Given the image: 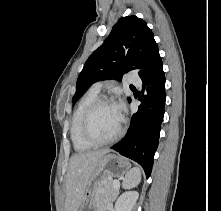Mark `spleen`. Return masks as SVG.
Wrapping results in <instances>:
<instances>
[{
	"instance_id": "spleen-1",
	"label": "spleen",
	"mask_w": 221,
	"mask_h": 211,
	"mask_svg": "<svg viewBox=\"0 0 221 211\" xmlns=\"http://www.w3.org/2000/svg\"><path fill=\"white\" fill-rule=\"evenodd\" d=\"M141 181V171L138 167L130 169L123 180L122 187L130 189L136 187Z\"/></svg>"
}]
</instances>
